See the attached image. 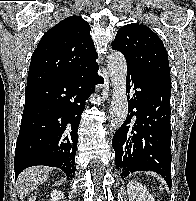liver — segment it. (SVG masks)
<instances>
[{
	"label": "liver",
	"instance_id": "liver-1",
	"mask_svg": "<svg viewBox=\"0 0 196 201\" xmlns=\"http://www.w3.org/2000/svg\"><path fill=\"white\" fill-rule=\"evenodd\" d=\"M49 177V169L41 166H33L22 171L17 179V192L20 198L27 196Z\"/></svg>",
	"mask_w": 196,
	"mask_h": 201
}]
</instances>
